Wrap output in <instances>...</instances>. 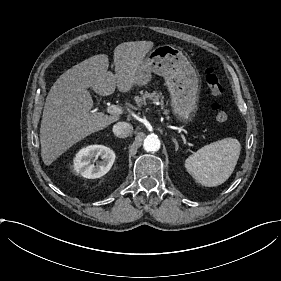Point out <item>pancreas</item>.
<instances>
[{
  "label": "pancreas",
  "mask_w": 281,
  "mask_h": 281,
  "mask_svg": "<svg viewBox=\"0 0 281 281\" xmlns=\"http://www.w3.org/2000/svg\"><path fill=\"white\" fill-rule=\"evenodd\" d=\"M133 99L135 101L134 104L138 107H140L142 103H144L146 105L147 103L153 104V103L160 102L162 110L164 111V113H167L170 110L169 108H167L164 105L165 95L162 92H159V91L158 92H156V91H153V92H148V91L143 92V91H141L140 96H134ZM167 118L169 120H172L170 116H167Z\"/></svg>",
  "instance_id": "obj_1"
}]
</instances>
